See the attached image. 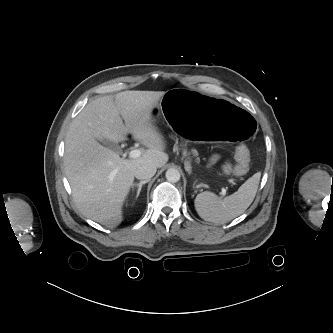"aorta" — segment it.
Wrapping results in <instances>:
<instances>
[{
  "label": "aorta",
  "instance_id": "aorta-1",
  "mask_svg": "<svg viewBox=\"0 0 333 333\" xmlns=\"http://www.w3.org/2000/svg\"><path fill=\"white\" fill-rule=\"evenodd\" d=\"M166 179L172 183L178 182L180 180V172L177 169L170 168L166 171Z\"/></svg>",
  "mask_w": 333,
  "mask_h": 333
}]
</instances>
